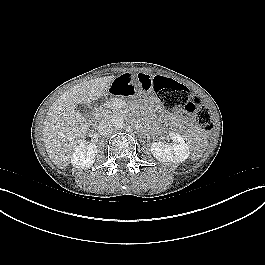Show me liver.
<instances>
[{
    "label": "liver",
    "instance_id": "obj_1",
    "mask_svg": "<svg viewBox=\"0 0 265 265\" xmlns=\"http://www.w3.org/2000/svg\"><path fill=\"white\" fill-rule=\"evenodd\" d=\"M115 76L83 81L65 91L52 104L43 123V141L51 161L66 168L71 155L88 131L87 119L77 112L76 105L91 104L111 87Z\"/></svg>",
    "mask_w": 265,
    "mask_h": 265
}]
</instances>
